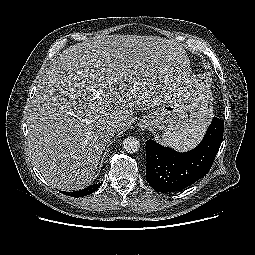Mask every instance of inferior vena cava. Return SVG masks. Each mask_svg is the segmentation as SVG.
<instances>
[{"label": "inferior vena cava", "instance_id": "obj_1", "mask_svg": "<svg viewBox=\"0 0 255 255\" xmlns=\"http://www.w3.org/2000/svg\"><path fill=\"white\" fill-rule=\"evenodd\" d=\"M110 129L112 131H114L115 129L118 128L119 126V120L117 118H114L113 120H111L109 123H108Z\"/></svg>", "mask_w": 255, "mask_h": 255}]
</instances>
